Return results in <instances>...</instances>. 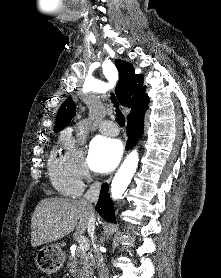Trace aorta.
Listing matches in <instances>:
<instances>
[{
  "label": "aorta",
  "mask_w": 221,
  "mask_h": 278,
  "mask_svg": "<svg viewBox=\"0 0 221 278\" xmlns=\"http://www.w3.org/2000/svg\"><path fill=\"white\" fill-rule=\"evenodd\" d=\"M138 161V153L136 150L132 151L124 160L112 180L111 196L113 199H120L124 194L136 172Z\"/></svg>",
  "instance_id": "obj_1"
}]
</instances>
